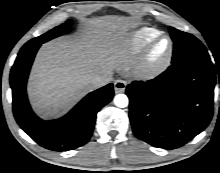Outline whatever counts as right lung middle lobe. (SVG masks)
<instances>
[{"label":"right lung middle lobe","instance_id":"obj_1","mask_svg":"<svg viewBox=\"0 0 220 173\" xmlns=\"http://www.w3.org/2000/svg\"><path fill=\"white\" fill-rule=\"evenodd\" d=\"M71 25H72V20H67L64 24L57 26L54 29L48 31L47 33L28 41L24 46L42 44L44 42L49 41L50 39L65 34L70 29Z\"/></svg>","mask_w":220,"mask_h":173}]
</instances>
